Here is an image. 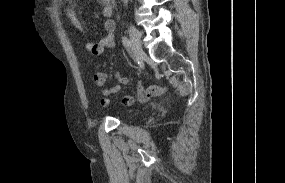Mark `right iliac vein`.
I'll use <instances>...</instances> for the list:
<instances>
[{"mask_svg": "<svg viewBox=\"0 0 285 183\" xmlns=\"http://www.w3.org/2000/svg\"><path fill=\"white\" fill-rule=\"evenodd\" d=\"M128 32L131 39L132 55L135 60H138L142 54L141 36L137 28L133 25L128 26Z\"/></svg>", "mask_w": 285, "mask_h": 183, "instance_id": "obj_1", "label": "right iliac vein"}]
</instances>
